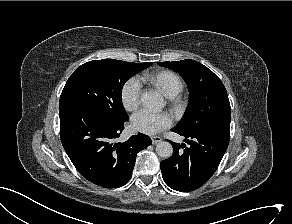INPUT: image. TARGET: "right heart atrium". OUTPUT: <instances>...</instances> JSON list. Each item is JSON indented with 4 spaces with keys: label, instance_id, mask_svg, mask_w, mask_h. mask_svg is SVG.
I'll use <instances>...</instances> for the list:
<instances>
[{
    "label": "right heart atrium",
    "instance_id": "right-heart-atrium-1",
    "mask_svg": "<svg viewBox=\"0 0 292 224\" xmlns=\"http://www.w3.org/2000/svg\"><path fill=\"white\" fill-rule=\"evenodd\" d=\"M121 102L128 111L136 109L140 103L141 84L137 78L128 79L120 91Z\"/></svg>",
    "mask_w": 292,
    "mask_h": 224
}]
</instances>
